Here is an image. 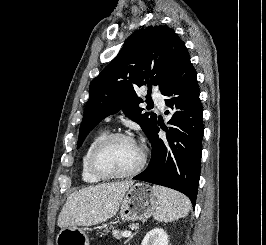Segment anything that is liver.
Masks as SVG:
<instances>
[{"label": "liver", "instance_id": "obj_1", "mask_svg": "<svg viewBox=\"0 0 266 245\" xmlns=\"http://www.w3.org/2000/svg\"><path fill=\"white\" fill-rule=\"evenodd\" d=\"M133 181L105 183L69 195L59 217L58 227H91L104 223L119 211V205Z\"/></svg>", "mask_w": 266, "mask_h": 245}]
</instances>
